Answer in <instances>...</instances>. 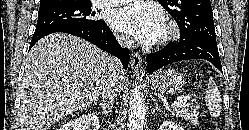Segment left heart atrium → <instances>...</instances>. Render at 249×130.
<instances>
[{"label": "left heart atrium", "instance_id": "obj_1", "mask_svg": "<svg viewBox=\"0 0 249 130\" xmlns=\"http://www.w3.org/2000/svg\"><path fill=\"white\" fill-rule=\"evenodd\" d=\"M114 27L144 44L156 42L164 31L161 10L150 2L134 1L114 12Z\"/></svg>", "mask_w": 249, "mask_h": 130}]
</instances>
